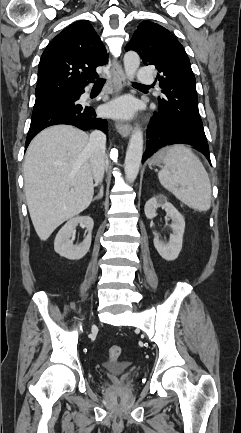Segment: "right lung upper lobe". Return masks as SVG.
<instances>
[{"label": "right lung upper lobe", "mask_w": 241, "mask_h": 433, "mask_svg": "<svg viewBox=\"0 0 241 433\" xmlns=\"http://www.w3.org/2000/svg\"><path fill=\"white\" fill-rule=\"evenodd\" d=\"M107 54L92 25L77 21L60 32L44 50L35 95L83 89L97 77L95 68Z\"/></svg>", "instance_id": "obj_1"}]
</instances>
